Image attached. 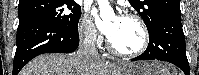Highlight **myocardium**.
I'll use <instances>...</instances> for the list:
<instances>
[{
  "instance_id": "obj_1",
  "label": "myocardium",
  "mask_w": 199,
  "mask_h": 75,
  "mask_svg": "<svg viewBox=\"0 0 199 75\" xmlns=\"http://www.w3.org/2000/svg\"><path fill=\"white\" fill-rule=\"evenodd\" d=\"M123 18L128 19V20H132L134 22L137 23V25L139 26L141 32H142V44L141 46L134 51H126V50H122L118 47H116L110 39H108V47L114 52L117 53L119 55L125 56V57H136L141 55L142 53H144L146 51V49L148 48L149 45V31L148 28L145 24V22L143 21V19L141 17H139L136 14H132V13H127L124 14Z\"/></svg>"
}]
</instances>
